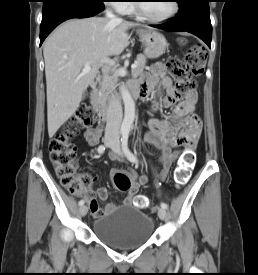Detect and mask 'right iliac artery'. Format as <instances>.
Segmentation results:
<instances>
[{
	"mask_svg": "<svg viewBox=\"0 0 258 275\" xmlns=\"http://www.w3.org/2000/svg\"><path fill=\"white\" fill-rule=\"evenodd\" d=\"M97 151H98L99 154L104 153V151H105V146H104V145H100V146L98 147ZM79 205H80V206L84 205V200H80V201H79Z\"/></svg>",
	"mask_w": 258,
	"mask_h": 275,
	"instance_id": "82829eb1",
	"label": "right iliac artery"
}]
</instances>
